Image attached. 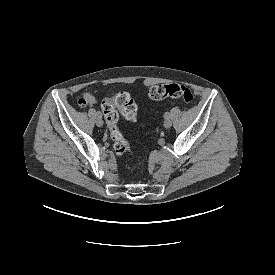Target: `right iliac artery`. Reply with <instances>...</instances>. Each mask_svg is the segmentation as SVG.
<instances>
[{
    "instance_id": "obj_1",
    "label": "right iliac artery",
    "mask_w": 275,
    "mask_h": 275,
    "mask_svg": "<svg viewBox=\"0 0 275 275\" xmlns=\"http://www.w3.org/2000/svg\"><path fill=\"white\" fill-rule=\"evenodd\" d=\"M95 115H96L97 117H102V114H101L100 111H97V112L95 113Z\"/></svg>"
}]
</instances>
